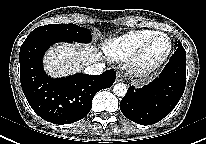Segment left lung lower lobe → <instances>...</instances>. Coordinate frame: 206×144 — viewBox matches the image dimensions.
I'll use <instances>...</instances> for the list:
<instances>
[{
    "mask_svg": "<svg viewBox=\"0 0 206 144\" xmlns=\"http://www.w3.org/2000/svg\"><path fill=\"white\" fill-rule=\"evenodd\" d=\"M178 47L159 77L142 88L130 86L120 102L121 112L140 125H152L166 117L177 105L186 84V52Z\"/></svg>",
    "mask_w": 206,
    "mask_h": 144,
    "instance_id": "obj_1",
    "label": "left lung lower lobe"
}]
</instances>
